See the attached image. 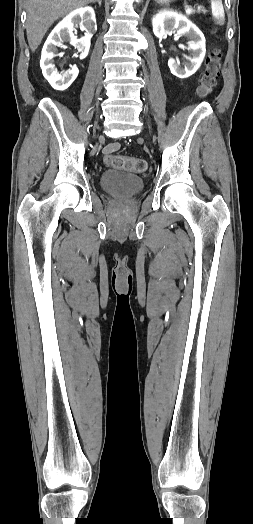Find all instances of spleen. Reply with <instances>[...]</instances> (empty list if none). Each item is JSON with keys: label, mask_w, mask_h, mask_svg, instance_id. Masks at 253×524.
<instances>
[{"label": "spleen", "mask_w": 253, "mask_h": 524, "mask_svg": "<svg viewBox=\"0 0 253 524\" xmlns=\"http://www.w3.org/2000/svg\"><path fill=\"white\" fill-rule=\"evenodd\" d=\"M212 15L218 24L222 25L225 20L224 8L221 0H211Z\"/></svg>", "instance_id": "1"}]
</instances>
